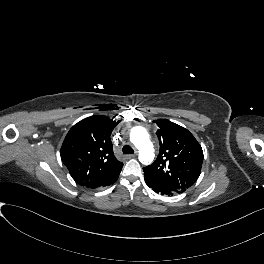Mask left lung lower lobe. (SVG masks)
Wrapping results in <instances>:
<instances>
[{
  "label": "left lung lower lobe",
  "instance_id": "left-lung-lower-lobe-1",
  "mask_svg": "<svg viewBox=\"0 0 264 264\" xmlns=\"http://www.w3.org/2000/svg\"><path fill=\"white\" fill-rule=\"evenodd\" d=\"M146 184L148 185V187H150L152 190H154L156 193H160L161 195H169V196H173L175 193L167 190L161 186L158 185H154L151 182L145 181Z\"/></svg>",
  "mask_w": 264,
  "mask_h": 264
}]
</instances>
